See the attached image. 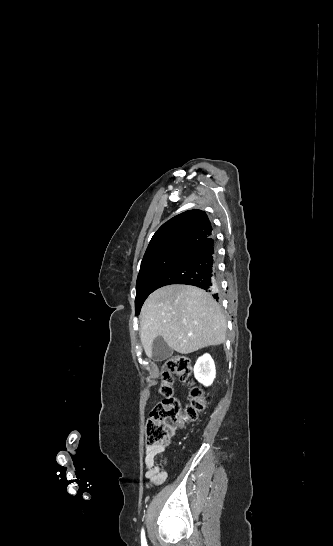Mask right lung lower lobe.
Here are the masks:
<instances>
[{
    "mask_svg": "<svg viewBox=\"0 0 333 546\" xmlns=\"http://www.w3.org/2000/svg\"><path fill=\"white\" fill-rule=\"evenodd\" d=\"M217 251L214 235L192 247L158 280L156 289L170 284L193 285L218 299ZM155 289V290H156Z\"/></svg>",
    "mask_w": 333,
    "mask_h": 546,
    "instance_id": "obj_1",
    "label": "right lung lower lobe"
}]
</instances>
